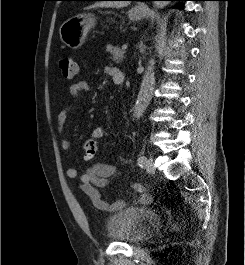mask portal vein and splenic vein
I'll return each mask as SVG.
<instances>
[{"label":"portal vein and splenic vein","mask_w":245,"mask_h":265,"mask_svg":"<svg viewBox=\"0 0 245 265\" xmlns=\"http://www.w3.org/2000/svg\"><path fill=\"white\" fill-rule=\"evenodd\" d=\"M127 47H128L127 44H124V45L122 46V50L125 51V50L127 49Z\"/></svg>","instance_id":"1"}]
</instances>
